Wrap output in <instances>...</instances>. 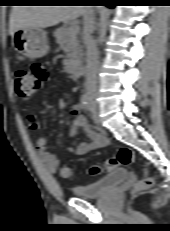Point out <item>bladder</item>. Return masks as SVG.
Segmentation results:
<instances>
[{"instance_id":"1","label":"bladder","mask_w":170,"mask_h":231,"mask_svg":"<svg viewBox=\"0 0 170 231\" xmlns=\"http://www.w3.org/2000/svg\"><path fill=\"white\" fill-rule=\"evenodd\" d=\"M128 172L125 169H116L107 176L95 182L83 185H77L72 188V192L81 198H98L108 194L119 185L126 182Z\"/></svg>"}]
</instances>
